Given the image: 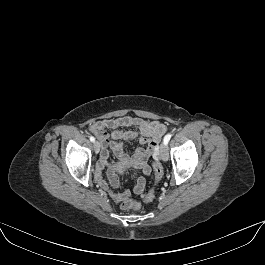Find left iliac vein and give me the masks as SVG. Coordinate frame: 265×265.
I'll list each match as a JSON object with an SVG mask.
<instances>
[{"label":"left iliac vein","mask_w":265,"mask_h":265,"mask_svg":"<svg viewBox=\"0 0 265 265\" xmlns=\"http://www.w3.org/2000/svg\"><path fill=\"white\" fill-rule=\"evenodd\" d=\"M160 156H161V159L163 161H167L168 160V149H167V146L165 144H161L160 146Z\"/></svg>","instance_id":"left-iliac-vein-1"}]
</instances>
